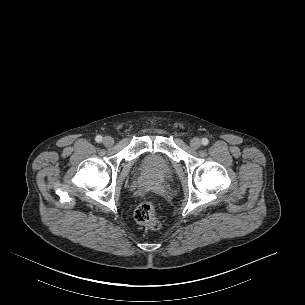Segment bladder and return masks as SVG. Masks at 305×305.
Listing matches in <instances>:
<instances>
[{"label": "bladder", "instance_id": "1", "mask_svg": "<svg viewBox=\"0 0 305 305\" xmlns=\"http://www.w3.org/2000/svg\"><path fill=\"white\" fill-rule=\"evenodd\" d=\"M142 171L156 179H167L172 175V166L165 159L148 158L142 164Z\"/></svg>", "mask_w": 305, "mask_h": 305}]
</instances>
